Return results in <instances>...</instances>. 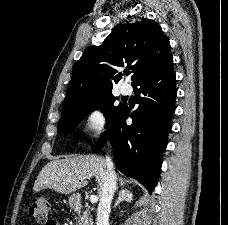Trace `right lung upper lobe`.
I'll list each match as a JSON object with an SVG mask.
<instances>
[{
    "mask_svg": "<svg viewBox=\"0 0 228 225\" xmlns=\"http://www.w3.org/2000/svg\"><path fill=\"white\" fill-rule=\"evenodd\" d=\"M170 43L158 23L142 19L115 28L99 46L87 48L76 62L63 107L112 92L122 79L121 67L132 69L134 86L170 53Z\"/></svg>",
    "mask_w": 228,
    "mask_h": 225,
    "instance_id": "obj_1",
    "label": "right lung upper lobe"
}]
</instances>
